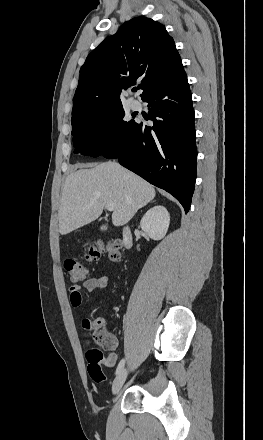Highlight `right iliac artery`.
Segmentation results:
<instances>
[{
	"mask_svg": "<svg viewBox=\"0 0 263 440\" xmlns=\"http://www.w3.org/2000/svg\"><path fill=\"white\" fill-rule=\"evenodd\" d=\"M124 364H125V360L122 359V360L119 362L118 366H117L116 374H118V373L123 369Z\"/></svg>",
	"mask_w": 263,
	"mask_h": 440,
	"instance_id": "82829eb1",
	"label": "right iliac artery"
}]
</instances>
